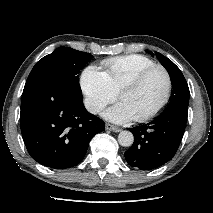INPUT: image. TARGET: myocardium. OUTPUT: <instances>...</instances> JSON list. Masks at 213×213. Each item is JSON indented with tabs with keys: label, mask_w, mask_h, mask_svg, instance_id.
<instances>
[{
	"label": "myocardium",
	"mask_w": 213,
	"mask_h": 213,
	"mask_svg": "<svg viewBox=\"0 0 213 213\" xmlns=\"http://www.w3.org/2000/svg\"><path fill=\"white\" fill-rule=\"evenodd\" d=\"M157 70L162 71L166 77L167 86H166L165 95L163 99L161 100V102L152 110H150L149 112H147L146 114L142 116L135 117L134 120L137 122H145L147 120H150L151 118L156 116L168 103L172 93V87H173V82H172V77L170 72L165 67L160 65H154L152 67H148L146 69H143L139 73H137L131 79H129L124 85H122V87L118 91V98L120 99L124 92L138 86L144 80L146 76H148L150 73Z\"/></svg>",
	"instance_id": "f54148a6"
}]
</instances>
